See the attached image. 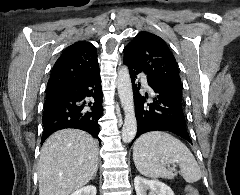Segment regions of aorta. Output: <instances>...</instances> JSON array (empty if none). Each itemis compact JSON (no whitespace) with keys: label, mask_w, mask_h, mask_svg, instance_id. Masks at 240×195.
<instances>
[{"label":"aorta","mask_w":240,"mask_h":195,"mask_svg":"<svg viewBox=\"0 0 240 195\" xmlns=\"http://www.w3.org/2000/svg\"><path fill=\"white\" fill-rule=\"evenodd\" d=\"M117 90L125 115L122 127V141L129 143L136 135L137 119L134 109L132 84L127 66H122L118 72Z\"/></svg>","instance_id":"762f6f07"}]
</instances>
